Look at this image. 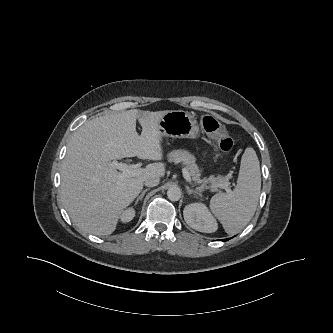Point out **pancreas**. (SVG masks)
Wrapping results in <instances>:
<instances>
[{
	"instance_id": "1",
	"label": "pancreas",
	"mask_w": 333,
	"mask_h": 333,
	"mask_svg": "<svg viewBox=\"0 0 333 333\" xmlns=\"http://www.w3.org/2000/svg\"><path fill=\"white\" fill-rule=\"evenodd\" d=\"M168 161L179 163L183 162L186 166L189 175L193 181V184L197 186L198 190H204L209 185L212 190L218 188L223 189L225 184H229V178L227 176H210L209 178H201V173L198 166L196 165L195 157L185 150H174L168 154Z\"/></svg>"
}]
</instances>
